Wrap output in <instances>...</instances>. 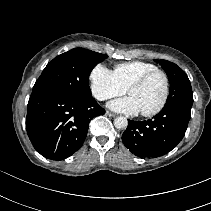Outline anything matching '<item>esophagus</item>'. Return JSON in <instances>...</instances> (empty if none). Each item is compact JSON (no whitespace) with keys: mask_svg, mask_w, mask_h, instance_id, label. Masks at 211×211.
<instances>
[{"mask_svg":"<svg viewBox=\"0 0 211 211\" xmlns=\"http://www.w3.org/2000/svg\"><path fill=\"white\" fill-rule=\"evenodd\" d=\"M106 115L109 116V117H114L115 114L110 112V111H106Z\"/></svg>","mask_w":211,"mask_h":211,"instance_id":"obj_1","label":"esophagus"}]
</instances>
